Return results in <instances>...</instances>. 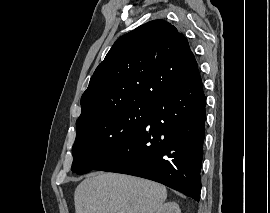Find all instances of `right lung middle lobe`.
<instances>
[{
  "label": "right lung middle lobe",
  "mask_w": 270,
  "mask_h": 213,
  "mask_svg": "<svg viewBox=\"0 0 270 213\" xmlns=\"http://www.w3.org/2000/svg\"><path fill=\"white\" fill-rule=\"evenodd\" d=\"M154 104L132 102L76 123L71 170L85 174L111 157L144 124Z\"/></svg>",
  "instance_id": "right-lung-middle-lobe-1"
}]
</instances>
